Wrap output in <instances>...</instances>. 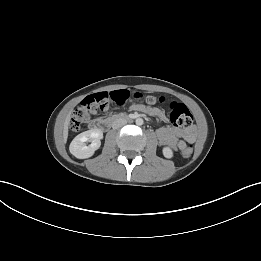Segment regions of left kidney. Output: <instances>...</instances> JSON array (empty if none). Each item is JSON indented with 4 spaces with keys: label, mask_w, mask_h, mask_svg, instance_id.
<instances>
[{
    "label": "left kidney",
    "mask_w": 261,
    "mask_h": 261,
    "mask_svg": "<svg viewBox=\"0 0 261 261\" xmlns=\"http://www.w3.org/2000/svg\"><path fill=\"white\" fill-rule=\"evenodd\" d=\"M163 154L166 158H172L173 157V152L169 147L163 148Z\"/></svg>",
    "instance_id": "left-kidney-1"
}]
</instances>
